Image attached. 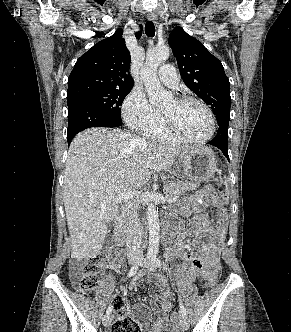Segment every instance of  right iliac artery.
<instances>
[{
  "mask_svg": "<svg viewBox=\"0 0 291 332\" xmlns=\"http://www.w3.org/2000/svg\"><path fill=\"white\" fill-rule=\"evenodd\" d=\"M138 266H139L138 264H135L134 266H132L127 276L131 277V276L135 275L138 271ZM111 311H112V308H111V306H109L106 310V314H110Z\"/></svg>",
  "mask_w": 291,
  "mask_h": 332,
  "instance_id": "obj_1",
  "label": "right iliac artery"
}]
</instances>
